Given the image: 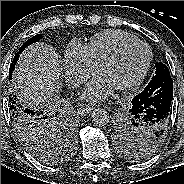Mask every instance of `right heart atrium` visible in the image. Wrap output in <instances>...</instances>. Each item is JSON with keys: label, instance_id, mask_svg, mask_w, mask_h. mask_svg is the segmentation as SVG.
I'll list each match as a JSON object with an SVG mask.
<instances>
[{"label": "right heart atrium", "instance_id": "d8ad5b80", "mask_svg": "<svg viewBox=\"0 0 184 184\" xmlns=\"http://www.w3.org/2000/svg\"><path fill=\"white\" fill-rule=\"evenodd\" d=\"M63 64L68 82L75 87L83 84L98 71V65L90 56L87 46L77 40L67 46Z\"/></svg>", "mask_w": 184, "mask_h": 184}]
</instances>
